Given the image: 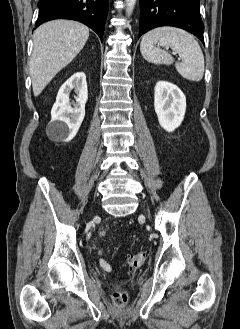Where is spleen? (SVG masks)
<instances>
[{
	"instance_id": "3e777b00",
	"label": "spleen",
	"mask_w": 240,
	"mask_h": 329,
	"mask_svg": "<svg viewBox=\"0 0 240 329\" xmlns=\"http://www.w3.org/2000/svg\"><path fill=\"white\" fill-rule=\"evenodd\" d=\"M159 46L170 47L178 53L182 62H177L175 67L183 78L195 82L203 78L204 56L200 45L190 33L175 27H159L142 37L140 51L146 61L154 64H172L171 55Z\"/></svg>"
}]
</instances>
